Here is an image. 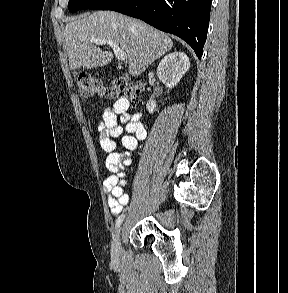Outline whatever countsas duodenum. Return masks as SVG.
<instances>
[{"mask_svg": "<svg viewBox=\"0 0 288 293\" xmlns=\"http://www.w3.org/2000/svg\"><path fill=\"white\" fill-rule=\"evenodd\" d=\"M138 87H139V88H142V84H141V83H139V84H138Z\"/></svg>", "mask_w": 288, "mask_h": 293, "instance_id": "duodenum-1", "label": "duodenum"}]
</instances>
